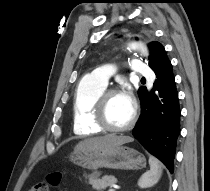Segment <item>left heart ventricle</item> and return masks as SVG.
I'll list each match as a JSON object with an SVG mask.
<instances>
[{"instance_id":"left-heart-ventricle-1","label":"left heart ventricle","mask_w":210,"mask_h":191,"mask_svg":"<svg viewBox=\"0 0 210 191\" xmlns=\"http://www.w3.org/2000/svg\"><path fill=\"white\" fill-rule=\"evenodd\" d=\"M132 115V105L128 104L120 94L109 97L106 106V117L112 127L126 125Z\"/></svg>"}]
</instances>
